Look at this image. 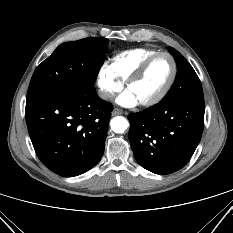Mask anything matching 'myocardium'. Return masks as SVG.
<instances>
[{
  "mask_svg": "<svg viewBox=\"0 0 233 233\" xmlns=\"http://www.w3.org/2000/svg\"><path fill=\"white\" fill-rule=\"evenodd\" d=\"M162 56L168 57L172 63L171 77H170L169 81L167 82V84L162 88V90H160L155 96H153L150 99L140 101L139 104L142 106L149 107V106L156 105L157 103H159L161 100L164 99V97L168 94V92L172 88V86L176 80V77H177V64H176V61L173 58V56L171 54H169L168 52H158V53L152 55L151 57L146 59L125 82V87L128 89L132 84L139 81L145 75V73L148 70V68L150 67V65L156 59H158L159 57H162Z\"/></svg>",
  "mask_w": 233,
  "mask_h": 233,
  "instance_id": "1",
  "label": "myocardium"
}]
</instances>
